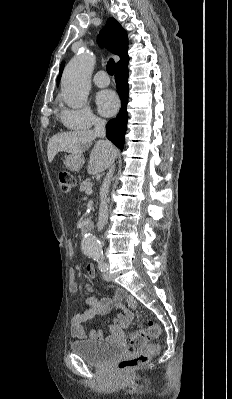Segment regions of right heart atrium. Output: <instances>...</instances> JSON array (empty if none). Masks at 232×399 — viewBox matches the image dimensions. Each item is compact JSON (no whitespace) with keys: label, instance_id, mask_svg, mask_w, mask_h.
Segmentation results:
<instances>
[{"label":"right heart atrium","instance_id":"obj_1","mask_svg":"<svg viewBox=\"0 0 232 399\" xmlns=\"http://www.w3.org/2000/svg\"><path fill=\"white\" fill-rule=\"evenodd\" d=\"M81 104V103H69ZM60 118L63 124L69 129H79L89 131L92 128V122H101V119L96 116L91 109L82 108L74 110L70 108H61Z\"/></svg>","mask_w":232,"mask_h":399}]
</instances>
